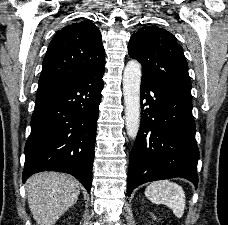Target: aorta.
<instances>
[{"label":"aorta","instance_id":"aorta-1","mask_svg":"<svg viewBox=\"0 0 228 225\" xmlns=\"http://www.w3.org/2000/svg\"><path fill=\"white\" fill-rule=\"evenodd\" d=\"M141 74L140 62L138 60H129L124 68L123 94L126 131L130 139H136L140 127Z\"/></svg>","mask_w":228,"mask_h":225}]
</instances>
